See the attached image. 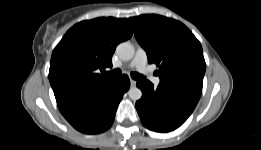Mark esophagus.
Returning a JSON list of instances; mask_svg holds the SVG:
<instances>
[{
  "mask_svg": "<svg viewBox=\"0 0 261 150\" xmlns=\"http://www.w3.org/2000/svg\"><path fill=\"white\" fill-rule=\"evenodd\" d=\"M130 84H131V87H135L136 86V81L133 80V79H130Z\"/></svg>",
  "mask_w": 261,
  "mask_h": 150,
  "instance_id": "1",
  "label": "esophagus"
}]
</instances>
